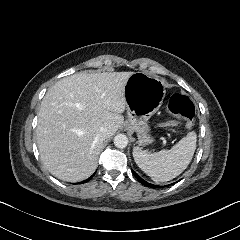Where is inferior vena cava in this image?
Returning <instances> with one entry per match:
<instances>
[{
  "label": "inferior vena cava",
  "mask_w": 240,
  "mask_h": 240,
  "mask_svg": "<svg viewBox=\"0 0 240 240\" xmlns=\"http://www.w3.org/2000/svg\"><path fill=\"white\" fill-rule=\"evenodd\" d=\"M96 136L99 140L104 141L108 137V130L101 127L97 130Z\"/></svg>",
  "instance_id": "602c4592"
}]
</instances>
